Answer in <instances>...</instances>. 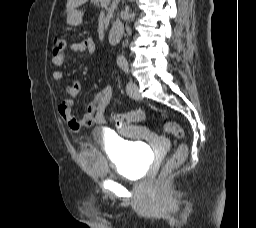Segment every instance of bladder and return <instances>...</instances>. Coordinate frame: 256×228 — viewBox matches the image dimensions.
I'll use <instances>...</instances> for the list:
<instances>
[{"instance_id": "1", "label": "bladder", "mask_w": 256, "mask_h": 228, "mask_svg": "<svg viewBox=\"0 0 256 228\" xmlns=\"http://www.w3.org/2000/svg\"><path fill=\"white\" fill-rule=\"evenodd\" d=\"M84 166L99 177L121 176L139 179L147 167V153L136 142L111 139V155L89 142L82 151Z\"/></svg>"}]
</instances>
